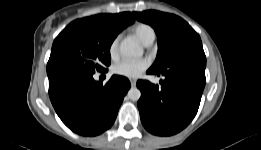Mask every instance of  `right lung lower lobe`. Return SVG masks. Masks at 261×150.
I'll use <instances>...</instances> for the list:
<instances>
[{
  "instance_id": "1",
  "label": "right lung lower lobe",
  "mask_w": 261,
  "mask_h": 150,
  "mask_svg": "<svg viewBox=\"0 0 261 150\" xmlns=\"http://www.w3.org/2000/svg\"><path fill=\"white\" fill-rule=\"evenodd\" d=\"M49 96L56 113L73 132L96 136L109 129L117 116L130 82L112 76L103 85L93 74L65 72L48 76Z\"/></svg>"
}]
</instances>
